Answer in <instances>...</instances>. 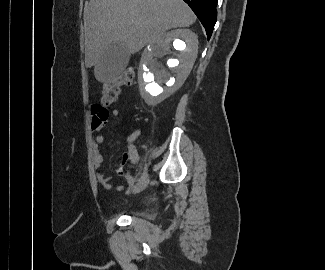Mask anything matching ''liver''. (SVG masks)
<instances>
[{"mask_svg":"<svg viewBox=\"0 0 325 270\" xmlns=\"http://www.w3.org/2000/svg\"><path fill=\"white\" fill-rule=\"evenodd\" d=\"M196 16L183 0H90L84 10L85 63L96 66L104 49L123 42L131 54L155 45L173 28L189 27Z\"/></svg>","mask_w":325,"mask_h":270,"instance_id":"6515ba94","label":"liver"}]
</instances>
